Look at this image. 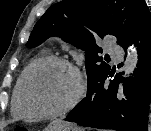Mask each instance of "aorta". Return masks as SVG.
<instances>
[{"label": "aorta", "mask_w": 151, "mask_h": 131, "mask_svg": "<svg viewBox=\"0 0 151 131\" xmlns=\"http://www.w3.org/2000/svg\"><path fill=\"white\" fill-rule=\"evenodd\" d=\"M138 64V54L133 47H130V51L128 53V56L126 58L125 64L123 66V71H124V77L130 76L136 68Z\"/></svg>", "instance_id": "762f6f07"}]
</instances>
